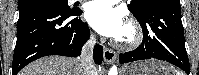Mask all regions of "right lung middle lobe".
<instances>
[{"label":"right lung middle lobe","instance_id":"right-lung-middle-lobe-1","mask_svg":"<svg viewBox=\"0 0 199 75\" xmlns=\"http://www.w3.org/2000/svg\"><path fill=\"white\" fill-rule=\"evenodd\" d=\"M19 10L27 7H50L63 14H70L73 10L68 7V0H18Z\"/></svg>","mask_w":199,"mask_h":75}]
</instances>
